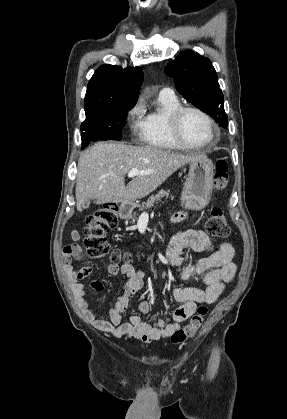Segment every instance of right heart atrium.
Listing matches in <instances>:
<instances>
[{
    "mask_svg": "<svg viewBox=\"0 0 287 419\" xmlns=\"http://www.w3.org/2000/svg\"><path fill=\"white\" fill-rule=\"evenodd\" d=\"M144 108L141 101H137L128 111L130 129L134 134H140L142 129Z\"/></svg>",
    "mask_w": 287,
    "mask_h": 419,
    "instance_id": "d8ad5b80",
    "label": "right heart atrium"
}]
</instances>
